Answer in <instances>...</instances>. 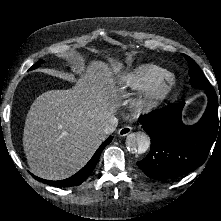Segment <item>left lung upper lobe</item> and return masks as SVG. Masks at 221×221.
<instances>
[{
  "label": "left lung upper lobe",
  "mask_w": 221,
  "mask_h": 221,
  "mask_svg": "<svg viewBox=\"0 0 221 221\" xmlns=\"http://www.w3.org/2000/svg\"><path fill=\"white\" fill-rule=\"evenodd\" d=\"M183 56L188 62L191 86L203 90L213 88L195 61L187 55L183 54Z\"/></svg>",
  "instance_id": "5c2ea615"
}]
</instances>
